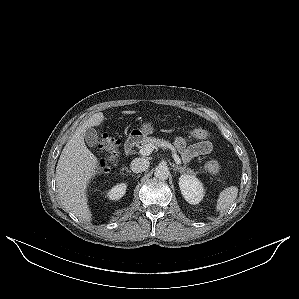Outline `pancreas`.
<instances>
[{
    "label": "pancreas",
    "instance_id": "pancreas-1",
    "mask_svg": "<svg viewBox=\"0 0 299 299\" xmlns=\"http://www.w3.org/2000/svg\"><path fill=\"white\" fill-rule=\"evenodd\" d=\"M147 144H152L156 148L157 147H163V148H169V149H172V150L175 149L174 146L171 143H169L168 141L161 140V139H158V138H155V137H145L141 142V145H142L141 148L146 146ZM184 171H186L189 174H194V172L191 169H185L184 168Z\"/></svg>",
    "mask_w": 299,
    "mask_h": 299
}]
</instances>
